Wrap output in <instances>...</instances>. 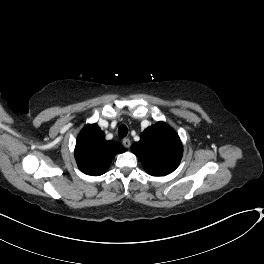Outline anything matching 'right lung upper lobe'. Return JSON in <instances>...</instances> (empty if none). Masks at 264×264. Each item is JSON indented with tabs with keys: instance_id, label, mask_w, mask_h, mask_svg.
I'll return each instance as SVG.
<instances>
[{
	"instance_id": "right-lung-upper-lobe-1",
	"label": "right lung upper lobe",
	"mask_w": 264,
	"mask_h": 264,
	"mask_svg": "<svg viewBox=\"0 0 264 264\" xmlns=\"http://www.w3.org/2000/svg\"><path fill=\"white\" fill-rule=\"evenodd\" d=\"M125 148L115 142L106 141L96 124L86 125L79 133L75 147V159L85 174L98 176L105 173L112 159Z\"/></svg>"
}]
</instances>
